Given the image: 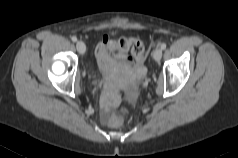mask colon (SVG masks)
Masks as SVG:
<instances>
[{"instance_id":"colon-1","label":"colon","mask_w":238,"mask_h":158,"mask_svg":"<svg viewBox=\"0 0 238 158\" xmlns=\"http://www.w3.org/2000/svg\"><path fill=\"white\" fill-rule=\"evenodd\" d=\"M114 48L119 53L130 52L136 61L142 62L146 58V48L144 44L135 38L122 37L114 41ZM127 117V110L124 107H118L112 111L106 122L111 127H120Z\"/></svg>"}]
</instances>
